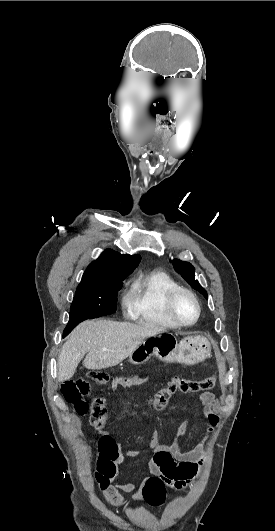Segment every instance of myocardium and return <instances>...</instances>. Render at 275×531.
Listing matches in <instances>:
<instances>
[{"mask_svg": "<svg viewBox=\"0 0 275 531\" xmlns=\"http://www.w3.org/2000/svg\"><path fill=\"white\" fill-rule=\"evenodd\" d=\"M180 293H184V294H187L188 296H190L193 299V301L195 302V304H196L197 314H196L195 319L193 321H191V322H182L181 320H179L177 318V316L174 313L173 302H174V299L176 298V296L178 294H180ZM164 307H165V311H166V314L168 315V317L177 326H180V327H187V326L194 325L195 323H197L199 321V319L201 317V313H202V307H201V303H200L198 297L190 289L182 287V286H175V287H173L172 289H170L168 291V293L165 296Z\"/></svg>", "mask_w": 275, "mask_h": 531, "instance_id": "1", "label": "myocardium"}]
</instances>
